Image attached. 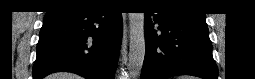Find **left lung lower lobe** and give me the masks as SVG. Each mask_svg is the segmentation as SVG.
I'll use <instances>...</instances> for the list:
<instances>
[{
  "label": "left lung lower lobe",
  "instance_id": "1",
  "mask_svg": "<svg viewBox=\"0 0 255 79\" xmlns=\"http://www.w3.org/2000/svg\"><path fill=\"white\" fill-rule=\"evenodd\" d=\"M145 13L146 52L141 79L193 75L217 79L205 16L161 7ZM158 26L159 32L154 28Z\"/></svg>",
  "mask_w": 255,
  "mask_h": 79
}]
</instances>
